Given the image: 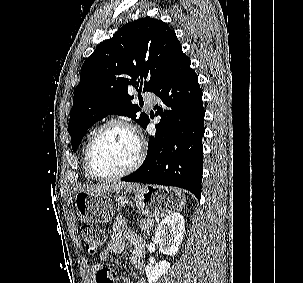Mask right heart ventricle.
Returning a JSON list of instances; mask_svg holds the SVG:
<instances>
[{
  "mask_svg": "<svg viewBox=\"0 0 303 283\" xmlns=\"http://www.w3.org/2000/svg\"><path fill=\"white\" fill-rule=\"evenodd\" d=\"M95 132V130H93L88 138L86 139L85 141V144H84V147H83V151H82V168H83V171H84V175L87 179L89 180H95V178L90 174L88 168H87V165H86V149H87V146H88V143L93 135V133Z\"/></svg>",
  "mask_w": 303,
  "mask_h": 283,
  "instance_id": "obj_1",
  "label": "right heart ventricle"
}]
</instances>
